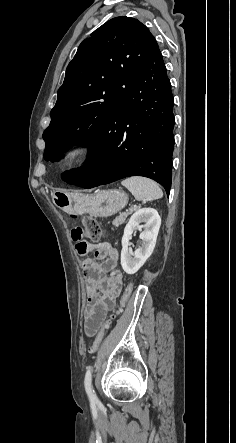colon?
Here are the masks:
<instances>
[{
  "instance_id": "1",
  "label": "colon",
  "mask_w": 236,
  "mask_h": 443,
  "mask_svg": "<svg viewBox=\"0 0 236 443\" xmlns=\"http://www.w3.org/2000/svg\"><path fill=\"white\" fill-rule=\"evenodd\" d=\"M82 224L83 228H75L72 231L73 238L78 240V244L76 246L77 250H79L81 253L86 252L87 245L82 244L81 240L82 237H86L92 241H96L101 236V228L98 223V221L91 217V216H84L82 218ZM132 285L129 284L126 288V291L121 299V306L118 308V310L114 313H112L109 318L104 322L102 328L99 330L98 334L96 335L94 341L92 342L90 346V353L95 354L99 351L102 342L104 340V336L106 333V330L109 329L111 326L112 321L115 319L116 315L122 311L123 306L125 305L127 298L131 292Z\"/></svg>"
}]
</instances>
